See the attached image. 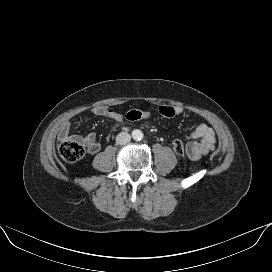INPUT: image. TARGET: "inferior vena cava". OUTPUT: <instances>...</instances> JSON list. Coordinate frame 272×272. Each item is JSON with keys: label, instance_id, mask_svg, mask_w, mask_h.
<instances>
[{"label": "inferior vena cava", "instance_id": "1", "mask_svg": "<svg viewBox=\"0 0 272 272\" xmlns=\"http://www.w3.org/2000/svg\"><path fill=\"white\" fill-rule=\"evenodd\" d=\"M131 136L127 132H121L116 136V143L119 145H124L130 142Z\"/></svg>", "mask_w": 272, "mask_h": 272}]
</instances>
